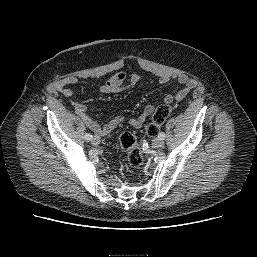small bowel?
<instances>
[{"instance_id": "small-bowel-1", "label": "small bowel", "mask_w": 257, "mask_h": 257, "mask_svg": "<svg viewBox=\"0 0 257 257\" xmlns=\"http://www.w3.org/2000/svg\"><path fill=\"white\" fill-rule=\"evenodd\" d=\"M157 79L160 84H166L170 80V76L166 73L157 74ZM142 77L138 73L128 74L126 71H119L112 75L101 87L102 93H117L126 88L132 87L139 83ZM177 82L183 86L175 95L168 94L164 97L166 104H171L174 101L183 100L188 93L195 87V81L186 74H181L177 77ZM79 83L77 77L71 76L61 80L57 88L66 97L72 96V91L68 88L69 85H76ZM154 105H147L142 113L135 118L129 120V124L134 128H140L146 120L154 113ZM75 112L83 122L94 132L97 137H102L113 131L122 121V116H116L105 124L99 123L97 120L88 115L87 107L80 103H75Z\"/></svg>"}]
</instances>
